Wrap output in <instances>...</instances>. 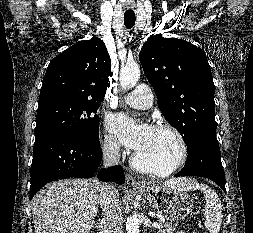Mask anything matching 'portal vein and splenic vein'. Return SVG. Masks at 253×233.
<instances>
[{
	"label": "portal vein and splenic vein",
	"mask_w": 253,
	"mask_h": 233,
	"mask_svg": "<svg viewBox=\"0 0 253 233\" xmlns=\"http://www.w3.org/2000/svg\"><path fill=\"white\" fill-rule=\"evenodd\" d=\"M152 226L155 227V228H161V227H162V224H161V223L154 222V223L152 224Z\"/></svg>",
	"instance_id": "obj_1"
}]
</instances>
